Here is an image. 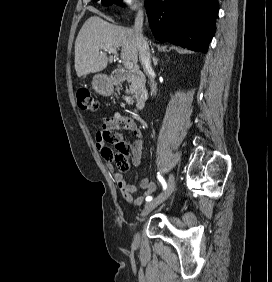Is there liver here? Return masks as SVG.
<instances>
[{
    "label": "liver",
    "mask_w": 272,
    "mask_h": 282,
    "mask_svg": "<svg viewBox=\"0 0 272 282\" xmlns=\"http://www.w3.org/2000/svg\"><path fill=\"white\" fill-rule=\"evenodd\" d=\"M100 45L121 47V58L138 62L139 46L134 30L111 24L98 16L86 20L75 41V70L78 77L104 70L113 56L100 51Z\"/></svg>",
    "instance_id": "obj_1"
}]
</instances>
